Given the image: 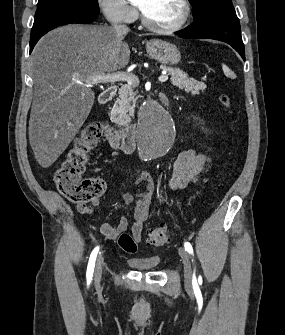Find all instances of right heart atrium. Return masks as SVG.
<instances>
[{"mask_svg":"<svg viewBox=\"0 0 285 335\" xmlns=\"http://www.w3.org/2000/svg\"><path fill=\"white\" fill-rule=\"evenodd\" d=\"M101 7L106 20L111 24H131L138 17L133 1H102Z\"/></svg>","mask_w":285,"mask_h":335,"instance_id":"obj_1","label":"right heart atrium"}]
</instances>
